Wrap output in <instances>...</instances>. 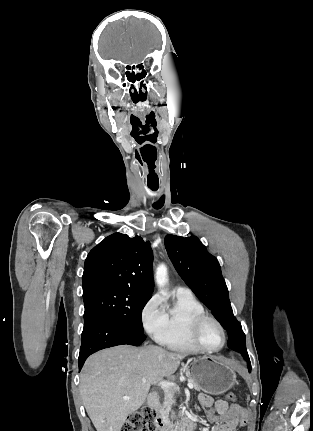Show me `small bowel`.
Returning <instances> with one entry per match:
<instances>
[{"label":"small bowel","mask_w":313,"mask_h":431,"mask_svg":"<svg viewBox=\"0 0 313 431\" xmlns=\"http://www.w3.org/2000/svg\"><path fill=\"white\" fill-rule=\"evenodd\" d=\"M200 405L207 409L208 419L213 423L210 431H235L247 424V414L238 404L229 405L224 400L213 401L206 395H199Z\"/></svg>","instance_id":"obj_1"}]
</instances>
